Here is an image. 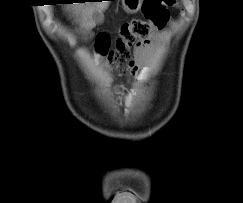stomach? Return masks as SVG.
<instances>
[{"instance_id": "0dacf381", "label": "stomach", "mask_w": 243, "mask_h": 203, "mask_svg": "<svg viewBox=\"0 0 243 203\" xmlns=\"http://www.w3.org/2000/svg\"><path fill=\"white\" fill-rule=\"evenodd\" d=\"M143 0H122V5L127 13H136L142 5Z\"/></svg>"}]
</instances>
